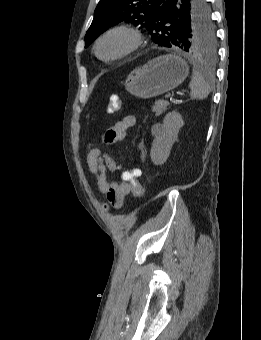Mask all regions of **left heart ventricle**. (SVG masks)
<instances>
[{
  "label": "left heart ventricle",
  "mask_w": 261,
  "mask_h": 340,
  "mask_svg": "<svg viewBox=\"0 0 261 340\" xmlns=\"http://www.w3.org/2000/svg\"><path fill=\"white\" fill-rule=\"evenodd\" d=\"M129 38L121 33L111 34L106 37L99 46L102 57L108 58L124 51L129 46Z\"/></svg>",
  "instance_id": "1"
}]
</instances>
